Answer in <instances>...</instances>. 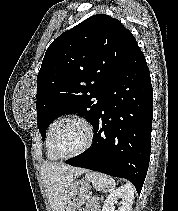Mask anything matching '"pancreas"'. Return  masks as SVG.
Masks as SVG:
<instances>
[{
	"label": "pancreas",
	"mask_w": 178,
	"mask_h": 211,
	"mask_svg": "<svg viewBox=\"0 0 178 211\" xmlns=\"http://www.w3.org/2000/svg\"><path fill=\"white\" fill-rule=\"evenodd\" d=\"M87 204L95 209L94 211H97V208L99 207V201L98 198H91L87 201Z\"/></svg>",
	"instance_id": "1"
}]
</instances>
